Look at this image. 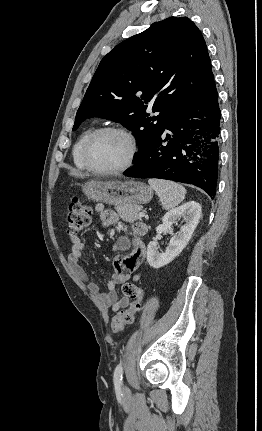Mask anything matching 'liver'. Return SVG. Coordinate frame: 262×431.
<instances>
[{"label":"liver","mask_w":262,"mask_h":431,"mask_svg":"<svg viewBox=\"0 0 262 431\" xmlns=\"http://www.w3.org/2000/svg\"><path fill=\"white\" fill-rule=\"evenodd\" d=\"M70 175L77 176V177H85V175L77 172H71Z\"/></svg>","instance_id":"liver-1"}]
</instances>
